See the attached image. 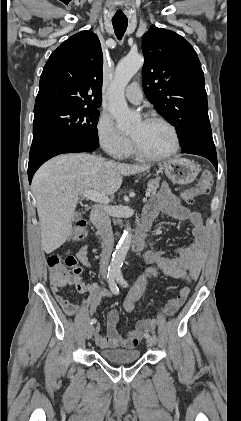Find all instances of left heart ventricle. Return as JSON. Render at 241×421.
<instances>
[{
    "instance_id": "b2bd125f",
    "label": "left heart ventricle",
    "mask_w": 241,
    "mask_h": 421,
    "mask_svg": "<svg viewBox=\"0 0 241 421\" xmlns=\"http://www.w3.org/2000/svg\"><path fill=\"white\" fill-rule=\"evenodd\" d=\"M129 135L148 154H164L173 146V135L170 129L161 123L138 121L130 129Z\"/></svg>"
}]
</instances>
